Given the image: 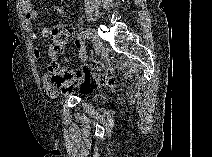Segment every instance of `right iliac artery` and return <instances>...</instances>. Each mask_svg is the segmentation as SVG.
I'll return each mask as SVG.
<instances>
[{
  "instance_id": "obj_1",
  "label": "right iliac artery",
  "mask_w": 212,
  "mask_h": 157,
  "mask_svg": "<svg viewBox=\"0 0 212 157\" xmlns=\"http://www.w3.org/2000/svg\"><path fill=\"white\" fill-rule=\"evenodd\" d=\"M78 38L79 39H91V36L88 31H80Z\"/></svg>"
}]
</instances>
